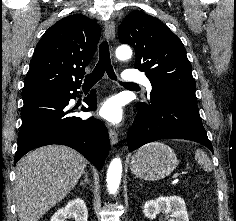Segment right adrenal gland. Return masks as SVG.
I'll list each match as a JSON object with an SVG mask.
<instances>
[{
    "instance_id": "obj_1",
    "label": "right adrenal gland",
    "mask_w": 236,
    "mask_h": 221,
    "mask_svg": "<svg viewBox=\"0 0 236 221\" xmlns=\"http://www.w3.org/2000/svg\"><path fill=\"white\" fill-rule=\"evenodd\" d=\"M89 183H90V182H89L88 173L85 172V173H84V180H82V181L80 182V186H83L84 184H89Z\"/></svg>"
}]
</instances>
